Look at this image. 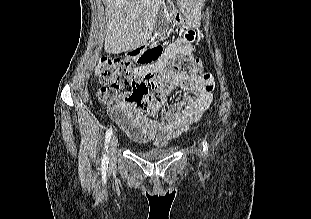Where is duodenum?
<instances>
[{
    "label": "duodenum",
    "mask_w": 311,
    "mask_h": 219,
    "mask_svg": "<svg viewBox=\"0 0 311 219\" xmlns=\"http://www.w3.org/2000/svg\"><path fill=\"white\" fill-rule=\"evenodd\" d=\"M164 10H165L166 12H170V11L172 10V7H171L170 5H166L165 8H164Z\"/></svg>",
    "instance_id": "duodenum-1"
}]
</instances>
